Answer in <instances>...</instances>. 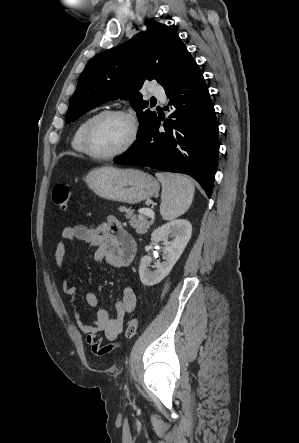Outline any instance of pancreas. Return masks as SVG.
I'll list each match as a JSON object with an SVG mask.
<instances>
[{"instance_id": "obj_1", "label": "pancreas", "mask_w": 299, "mask_h": 443, "mask_svg": "<svg viewBox=\"0 0 299 443\" xmlns=\"http://www.w3.org/2000/svg\"><path fill=\"white\" fill-rule=\"evenodd\" d=\"M120 211L125 213L126 218L129 219L130 225L139 234H145L149 227L153 224V220H148L147 216L144 214V211H141L138 216L134 214V210L131 208L121 207Z\"/></svg>"}]
</instances>
